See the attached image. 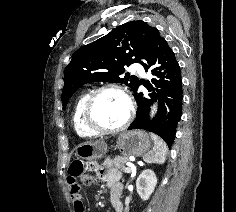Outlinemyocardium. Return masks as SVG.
<instances>
[{
    "label": "myocardium",
    "instance_id": "1",
    "mask_svg": "<svg viewBox=\"0 0 236 212\" xmlns=\"http://www.w3.org/2000/svg\"><path fill=\"white\" fill-rule=\"evenodd\" d=\"M107 90H114V91L119 92L125 98L128 105V114L125 121L120 126L116 128H111V129L100 127L99 125L95 123L93 119V107H94L96 98L102 92L107 91ZM134 116H135V105H134V101L130 93L121 85L114 84V83H108L93 90L89 94L88 98L86 99L84 108H83V122L85 126L90 131L96 134H102V135L117 134L126 130L132 123Z\"/></svg>",
    "mask_w": 236,
    "mask_h": 212
}]
</instances>
